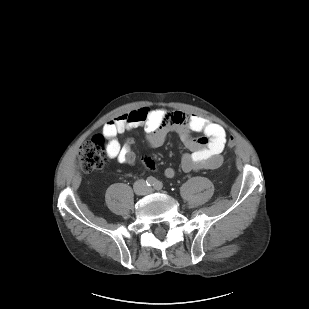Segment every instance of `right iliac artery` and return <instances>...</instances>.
<instances>
[{"label": "right iliac artery", "mask_w": 309, "mask_h": 309, "mask_svg": "<svg viewBox=\"0 0 309 309\" xmlns=\"http://www.w3.org/2000/svg\"><path fill=\"white\" fill-rule=\"evenodd\" d=\"M155 182H156V179L154 177H148L147 180H146V184L148 186H154Z\"/></svg>", "instance_id": "right-iliac-artery-1"}]
</instances>
